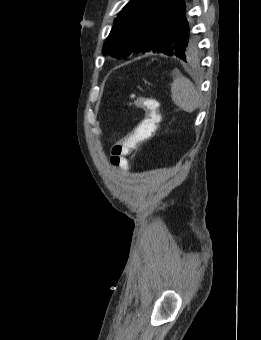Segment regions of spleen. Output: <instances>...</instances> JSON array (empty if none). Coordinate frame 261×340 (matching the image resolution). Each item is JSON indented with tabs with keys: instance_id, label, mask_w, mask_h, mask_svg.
Listing matches in <instances>:
<instances>
[{
	"instance_id": "1",
	"label": "spleen",
	"mask_w": 261,
	"mask_h": 340,
	"mask_svg": "<svg viewBox=\"0 0 261 340\" xmlns=\"http://www.w3.org/2000/svg\"><path fill=\"white\" fill-rule=\"evenodd\" d=\"M172 100L180 109L192 113L200 107L202 97L194 84L183 75H176L171 83Z\"/></svg>"
}]
</instances>
